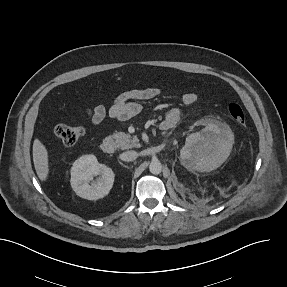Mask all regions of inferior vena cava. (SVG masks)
<instances>
[{
    "mask_svg": "<svg viewBox=\"0 0 287 287\" xmlns=\"http://www.w3.org/2000/svg\"><path fill=\"white\" fill-rule=\"evenodd\" d=\"M120 157L123 161H134L138 157V153L136 151H126Z\"/></svg>",
    "mask_w": 287,
    "mask_h": 287,
    "instance_id": "inferior-vena-cava-1",
    "label": "inferior vena cava"
}]
</instances>
